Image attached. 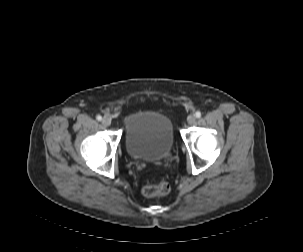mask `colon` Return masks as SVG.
<instances>
[{
	"mask_svg": "<svg viewBox=\"0 0 303 252\" xmlns=\"http://www.w3.org/2000/svg\"><path fill=\"white\" fill-rule=\"evenodd\" d=\"M170 191V185L166 181H161L156 184L148 185L144 188V194L149 197L165 196Z\"/></svg>",
	"mask_w": 303,
	"mask_h": 252,
	"instance_id": "5ec220e1",
	"label": "colon"
}]
</instances>
